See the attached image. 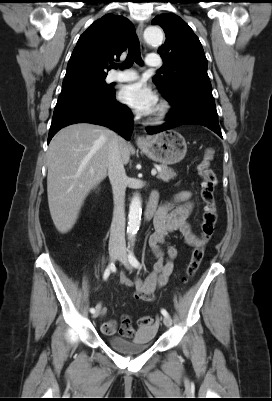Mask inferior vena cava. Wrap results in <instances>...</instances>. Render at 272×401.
Instances as JSON below:
<instances>
[{
	"instance_id": "obj_1",
	"label": "inferior vena cava",
	"mask_w": 272,
	"mask_h": 401,
	"mask_svg": "<svg viewBox=\"0 0 272 401\" xmlns=\"http://www.w3.org/2000/svg\"><path fill=\"white\" fill-rule=\"evenodd\" d=\"M108 176L112 185L114 200L109 244L123 246L125 244V191L127 176L117 136L113 138L109 145Z\"/></svg>"
}]
</instances>
